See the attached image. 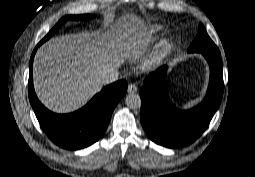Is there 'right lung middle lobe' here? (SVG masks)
<instances>
[{
    "label": "right lung middle lobe",
    "mask_w": 255,
    "mask_h": 177,
    "mask_svg": "<svg viewBox=\"0 0 255 177\" xmlns=\"http://www.w3.org/2000/svg\"><path fill=\"white\" fill-rule=\"evenodd\" d=\"M94 15H69L61 18V20L53 27V29L41 40L39 44H42L46 40H48L63 24L65 21L69 19L73 20H88L93 18Z\"/></svg>",
    "instance_id": "obj_1"
}]
</instances>
